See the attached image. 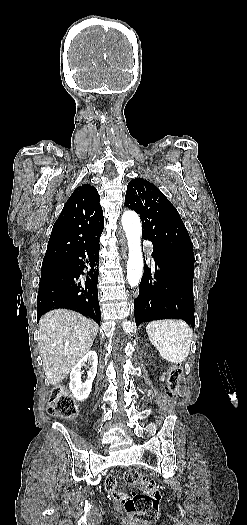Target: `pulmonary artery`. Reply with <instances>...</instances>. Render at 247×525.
Returning a JSON list of instances; mask_svg holds the SVG:
<instances>
[{"mask_svg":"<svg viewBox=\"0 0 247 525\" xmlns=\"http://www.w3.org/2000/svg\"><path fill=\"white\" fill-rule=\"evenodd\" d=\"M146 251H147V253H153V247L151 245L147 246L146 247ZM150 257H153V254H150ZM150 263H151V265L156 266V265H158L159 260H158V258L153 257V258H151Z\"/></svg>","mask_w":247,"mask_h":525,"instance_id":"1","label":"pulmonary artery"}]
</instances>
